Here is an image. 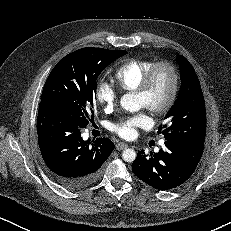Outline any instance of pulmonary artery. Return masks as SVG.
<instances>
[{"instance_id":"obj_1","label":"pulmonary artery","mask_w":231,"mask_h":231,"mask_svg":"<svg viewBox=\"0 0 231 231\" xmlns=\"http://www.w3.org/2000/svg\"><path fill=\"white\" fill-rule=\"evenodd\" d=\"M160 143H161V144H164V141H161Z\"/></svg>"}]
</instances>
